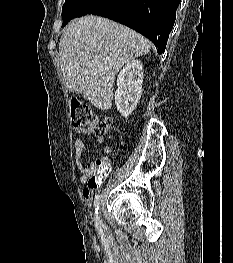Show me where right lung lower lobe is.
I'll return each mask as SVG.
<instances>
[{
    "instance_id": "right-lung-lower-lobe-1",
    "label": "right lung lower lobe",
    "mask_w": 233,
    "mask_h": 263,
    "mask_svg": "<svg viewBox=\"0 0 233 263\" xmlns=\"http://www.w3.org/2000/svg\"><path fill=\"white\" fill-rule=\"evenodd\" d=\"M181 0H122L111 13L100 16L122 23L149 38L164 53Z\"/></svg>"
}]
</instances>
